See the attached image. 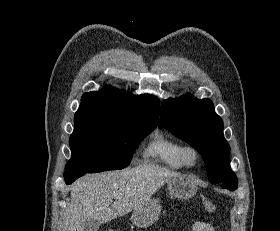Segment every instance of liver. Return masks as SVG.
Wrapping results in <instances>:
<instances>
[{
	"instance_id": "liver-1",
	"label": "liver",
	"mask_w": 280,
	"mask_h": 231,
	"mask_svg": "<svg viewBox=\"0 0 280 231\" xmlns=\"http://www.w3.org/2000/svg\"><path fill=\"white\" fill-rule=\"evenodd\" d=\"M174 175L180 173L160 165H138L79 177L70 187L71 203L64 213L63 231H83L88 221L105 223L129 213Z\"/></svg>"
}]
</instances>
